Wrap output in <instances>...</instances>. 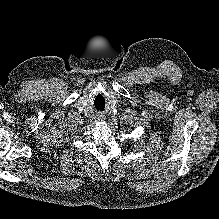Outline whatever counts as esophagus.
Returning <instances> with one entry per match:
<instances>
[{
  "instance_id": "1",
  "label": "esophagus",
  "mask_w": 219,
  "mask_h": 219,
  "mask_svg": "<svg viewBox=\"0 0 219 219\" xmlns=\"http://www.w3.org/2000/svg\"><path fill=\"white\" fill-rule=\"evenodd\" d=\"M96 121H99V120H102V116L101 115H96L95 118H94Z\"/></svg>"
}]
</instances>
